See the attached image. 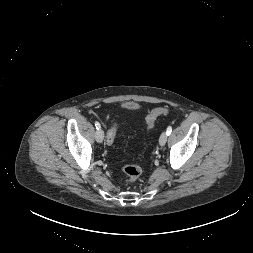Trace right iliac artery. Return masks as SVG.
Segmentation results:
<instances>
[{
  "label": "right iliac artery",
  "instance_id": "82829eb1",
  "mask_svg": "<svg viewBox=\"0 0 253 253\" xmlns=\"http://www.w3.org/2000/svg\"><path fill=\"white\" fill-rule=\"evenodd\" d=\"M95 127L97 130H99L101 128L100 124L97 121H95Z\"/></svg>",
  "mask_w": 253,
  "mask_h": 253
}]
</instances>
